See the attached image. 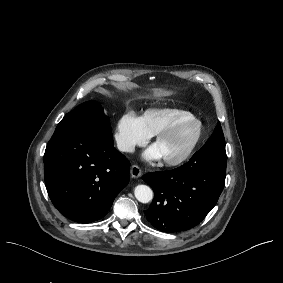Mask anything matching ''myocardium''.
<instances>
[{"label": "myocardium", "mask_w": 283, "mask_h": 283, "mask_svg": "<svg viewBox=\"0 0 283 283\" xmlns=\"http://www.w3.org/2000/svg\"><path fill=\"white\" fill-rule=\"evenodd\" d=\"M187 123H192L194 125V133L192 139L186 148V150L175 159H164V162L168 166H180L187 162L192 155L195 153L203 135V125L202 122L195 116H186L178 119L167 129L161 131L156 136V141L161 142L174 137L179 129Z\"/></svg>", "instance_id": "myocardium-1"}]
</instances>
